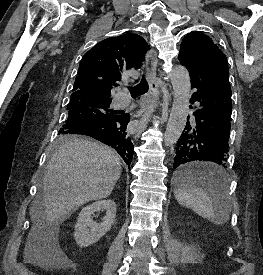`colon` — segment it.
Instances as JSON below:
<instances>
[{
  "label": "colon",
  "mask_w": 263,
  "mask_h": 275,
  "mask_svg": "<svg viewBox=\"0 0 263 275\" xmlns=\"http://www.w3.org/2000/svg\"><path fill=\"white\" fill-rule=\"evenodd\" d=\"M53 253H57V251H56V250H54V251H53Z\"/></svg>",
  "instance_id": "1"
}]
</instances>
